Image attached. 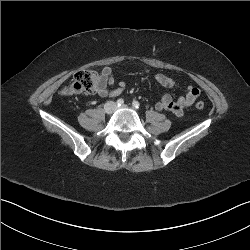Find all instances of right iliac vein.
I'll return each mask as SVG.
<instances>
[{"instance_id":"obj_1","label":"right iliac vein","mask_w":250,"mask_h":250,"mask_svg":"<svg viewBox=\"0 0 250 250\" xmlns=\"http://www.w3.org/2000/svg\"><path fill=\"white\" fill-rule=\"evenodd\" d=\"M116 108V105L114 102H108L104 106V110L107 114H111Z\"/></svg>"}]
</instances>
